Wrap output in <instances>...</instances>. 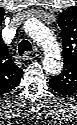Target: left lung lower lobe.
<instances>
[{
	"label": "left lung lower lobe",
	"instance_id": "0a47b994",
	"mask_svg": "<svg viewBox=\"0 0 77 125\" xmlns=\"http://www.w3.org/2000/svg\"><path fill=\"white\" fill-rule=\"evenodd\" d=\"M49 84H50L51 88H53V89L56 90L57 92L63 93V91L59 90L60 87L57 88L56 85H54L55 83H53V82L51 81V79H50Z\"/></svg>",
	"mask_w": 77,
	"mask_h": 125
}]
</instances>
